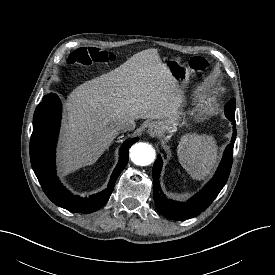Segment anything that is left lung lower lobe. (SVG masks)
I'll return each instance as SVG.
<instances>
[{
  "label": "left lung lower lobe",
  "mask_w": 275,
  "mask_h": 275,
  "mask_svg": "<svg viewBox=\"0 0 275 275\" xmlns=\"http://www.w3.org/2000/svg\"><path fill=\"white\" fill-rule=\"evenodd\" d=\"M231 121L233 125L231 142L224 151L222 161L216 174L212 180L187 203L167 199L161 191L159 178L163 161L160 155L157 156L153 166V197L158 211L163 216L173 220H185L195 217L205 211L217 197L228 180L232 166L233 147L236 139V125L235 120Z\"/></svg>",
  "instance_id": "obj_1"
}]
</instances>
